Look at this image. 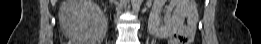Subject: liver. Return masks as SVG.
Listing matches in <instances>:
<instances>
[{"mask_svg": "<svg viewBox=\"0 0 261 44\" xmlns=\"http://www.w3.org/2000/svg\"><path fill=\"white\" fill-rule=\"evenodd\" d=\"M93 11L100 12V9L91 0L62 1L59 9L60 24L72 42L92 41L94 35L90 29L88 12Z\"/></svg>", "mask_w": 261, "mask_h": 44, "instance_id": "obj_1", "label": "liver"}]
</instances>
